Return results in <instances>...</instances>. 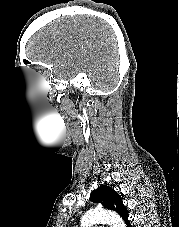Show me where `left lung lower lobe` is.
<instances>
[{"mask_svg":"<svg viewBox=\"0 0 179 227\" xmlns=\"http://www.w3.org/2000/svg\"><path fill=\"white\" fill-rule=\"evenodd\" d=\"M127 227H131L130 222L126 223Z\"/></svg>","mask_w":179,"mask_h":227,"instance_id":"1","label":"left lung lower lobe"}]
</instances>
